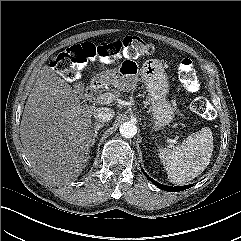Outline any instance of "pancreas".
Segmentation results:
<instances>
[{"mask_svg": "<svg viewBox=\"0 0 241 241\" xmlns=\"http://www.w3.org/2000/svg\"><path fill=\"white\" fill-rule=\"evenodd\" d=\"M113 91H114L115 93L118 92V91H116V90H113Z\"/></svg>", "mask_w": 241, "mask_h": 241, "instance_id": "cf45deb5", "label": "pancreas"}]
</instances>
